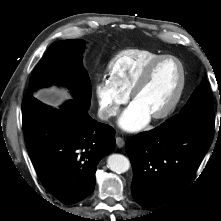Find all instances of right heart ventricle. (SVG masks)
<instances>
[{
    "label": "right heart ventricle",
    "instance_id": "e07e8e85",
    "mask_svg": "<svg viewBox=\"0 0 221 221\" xmlns=\"http://www.w3.org/2000/svg\"><path fill=\"white\" fill-rule=\"evenodd\" d=\"M147 49H127L114 56L108 63L109 79L123 92L131 90L146 68L157 57L161 56Z\"/></svg>",
    "mask_w": 221,
    "mask_h": 221
}]
</instances>
